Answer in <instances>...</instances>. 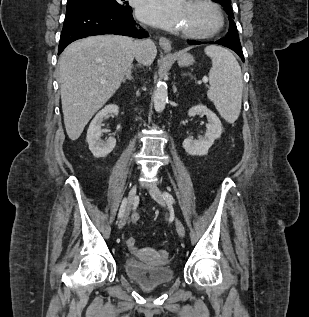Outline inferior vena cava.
I'll use <instances>...</instances> for the list:
<instances>
[{"label":"inferior vena cava","mask_w":309,"mask_h":317,"mask_svg":"<svg viewBox=\"0 0 309 317\" xmlns=\"http://www.w3.org/2000/svg\"><path fill=\"white\" fill-rule=\"evenodd\" d=\"M143 43L141 41H135L134 42V51H135V57L136 60L139 61V56L142 50Z\"/></svg>","instance_id":"obj_1"}]
</instances>
